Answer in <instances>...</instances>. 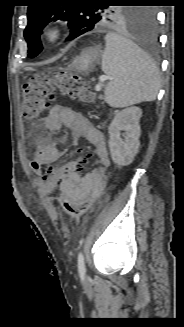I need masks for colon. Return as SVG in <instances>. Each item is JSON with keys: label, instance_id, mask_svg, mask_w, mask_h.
Instances as JSON below:
<instances>
[{"label": "colon", "instance_id": "obj_1", "mask_svg": "<svg viewBox=\"0 0 184 327\" xmlns=\"http://www.w3.org/2000/svg\"><path fill=\"white\" fill-rule=\"evenodd\" d=\"M57 91L85 103L93 102L95 98L90 86L76 74L61 71L51 76L34 77L23 88V117L28 120L38 117L50 105ZM51 200L75 217L85 214L92 205L90 201H76L63 195L52 197Z\"/></svg>", "mask_w": 184, "mask_h": 327}]
</instances>
